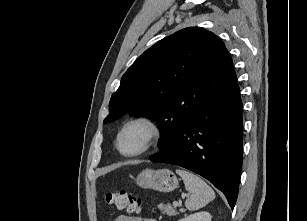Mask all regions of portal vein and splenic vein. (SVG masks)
I'll use <instances>...</instances> for the list:
<instances>
[{"label":"portal vein and splenic vein","mask_w":307,"mask_h":221,"mask_svg":"<svg viewBox=\"0 0 307 221\" xmlns=\"http://www.w3.org/2000/svg\"><path fill=\"white\" fill-rule=\"evenodd\" d=\"M173 206H174V207H178V206H179V203L176 202V201H174V202H173Z\"/></svg>","instance_id":"18ae733b"}]
</instances>
